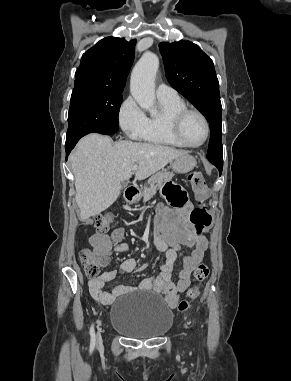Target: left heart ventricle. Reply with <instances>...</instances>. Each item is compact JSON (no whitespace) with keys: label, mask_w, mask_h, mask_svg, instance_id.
Here are the masks:
<instances>
[{"label":"left heart ventricle","mask_w":291,"mask_h":381,"mask_svg":"<svg viewBox=\"0 0 291 381\" xmlns=\"http://www.w3.org/2000/svg\"><path fill=\"white\" fill-rule=\"evenodd\" d=\"M184 138L191 144H199L205 136V126L197 114H188L181 125Z\"/></svg>","instance_id":"obj_1"}]
</instances>
